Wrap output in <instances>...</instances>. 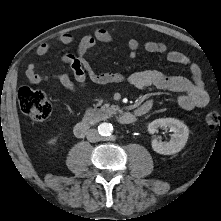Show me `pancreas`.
<instances>
[{"label": "pancreas", "instance_id": "pancreas-1", "mask_svg": "<svg viewBox=\"0 0 221 221\" xmlns=\"http://www.w3.org/2000/svg\"><path fill=\"white\" fill-rule=\"evenodd\" d=\"M112 113H114L113 111H110V114L109 115H111ZM90 121H93V122H95V121H98V120H101V119H103V118H92V117H90V118H88Z\"/></svg>", "mask_w": 221, "mask_h": 221}]
</instances>
